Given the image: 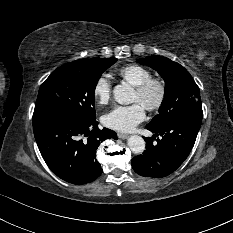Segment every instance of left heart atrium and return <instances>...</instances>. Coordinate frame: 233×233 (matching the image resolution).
I'll return each mask as SVG.
<instances>
[{"instance_id":"39dd6f15","label":"left heart atrium","mask_w":233,"mask_h":233,"mask_svg":"<svg viewBox=\"0 0 233 233\" xmlns=\"http://www.w3.org/2000/svg\"><path fill=\"white\" fill-rule=\"evenodd\" d=\"M144 119L145 109L139 102H136L129 106H116L104 116L103 122L111 129L129 132Z\"/></svg>"}]
</instances>
